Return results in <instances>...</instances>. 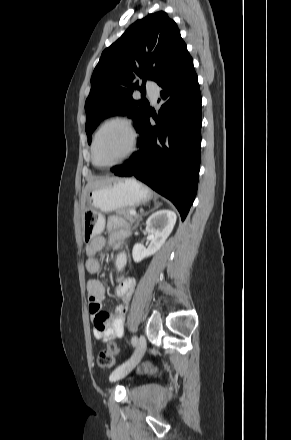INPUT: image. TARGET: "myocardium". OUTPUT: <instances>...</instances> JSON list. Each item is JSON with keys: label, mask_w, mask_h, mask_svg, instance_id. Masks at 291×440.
I'll use <instances>...</instances> for the list:
<instances>
[{"label": "myocardium", "mask_w": 291, "mask_h": 440, "mask_svg": "<svg viewBox=\"0 0 291 440\" xmlns=\"http://www.w3.org/2000/svg\"><path fill=\"white\" fill-rule=\"evenodd\" d=\"M112 125H120L127 131L128 135H129L128 150L121 159H119L115 162H111V163H107V164H98L95 160V148H96L97 139H98L100 133L104 129H106L107 127L112 126ZM136 146H137V133H136V130H135L133 124L131 123V121L125 117H120V116L111 117V118L105 120L97 128V130L95 131V133L93 135L92 144H91L92 163L98 168H112V167L118 166L132 156V154L136 150Z\"/></svg>", "instance_id": "1"}]
</instances>
